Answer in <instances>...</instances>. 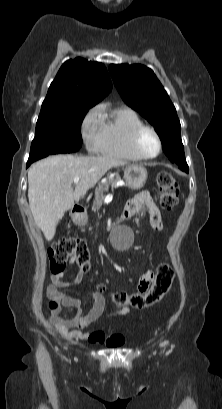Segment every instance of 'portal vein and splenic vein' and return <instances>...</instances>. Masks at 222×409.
<instances>
[{"mask_svg": "<svg viewBox=\"0 0 222 409\" xmlns=\"http://www.w3.org/2000/svg\"><path fill=\"white\" fill-rule=\"evenodd\" d=\"M79 180H80V178H79V177L74 178V183H78V182H79Z\"/></svg>", "mask_w": 222, "mask_h": 409, "instance_id": "obj_1", "label": "portal vein and splenic vein"}]
</instances>
